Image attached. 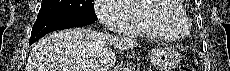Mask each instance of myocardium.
<instances>
[{
  "mask_svg": "<svg viewBox=\"0 0 230 71\" xmlns=\"http://www.w3.org/2000/svg\"><path fill=\"white\" fill-rule=\"evenodd\" d=\"M179 0H148L144 5L147 19L158 31L179 39L190 31V23L185 12H178L173 5Z\"/></svg>",
  "mask_w": 230,
  "mask_h": 71,
  "instance_id": "obj_1",
  "label": "myocardium"
}]
</instances>
